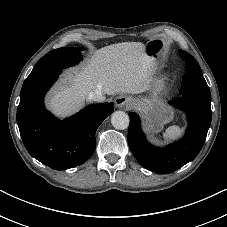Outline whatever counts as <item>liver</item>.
<instances>
[{
  "mask_svg": "<svg viewBox=\"0 0 227 227\" xmlns=\"http://www.w3.org/2000/svg\"><path fill=\"white\" fill-rule=\"evenodd\" d=\"M155 65L141 42H122L98 49L81 71L68 73L51 92L48 107L65 116L81 106L90 92L139 93Z\"/></svg>",
  "mask_w": 227,
  "mask_h": 227,
  "instance_id": "liver-1",
  "label": "liver"
}]
</instances>
